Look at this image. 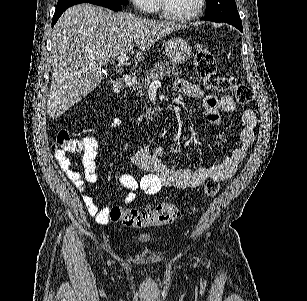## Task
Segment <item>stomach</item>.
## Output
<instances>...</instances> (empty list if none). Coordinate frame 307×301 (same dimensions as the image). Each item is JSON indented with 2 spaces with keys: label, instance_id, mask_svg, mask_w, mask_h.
I'll use <instances>...</instances> for the list:
<instances>
[{
  "label": "stomach",
  "instance_id": "stomach-1",
  "mask_svg": "<svg viewBox=\"0 0 307 301\" xmlns=\"http://www.w3.org/2000/svg\"><path fill=\"white\" fill-rule=\"evenodd\" d=\"M165 54L170 62L181 64V62H187L188 58H190L191 46L186 38L173 36V38H168L165 42Z\"/></svg>",
  "mask_w": 307,
  "mask_h": 301
}]
</instances>
